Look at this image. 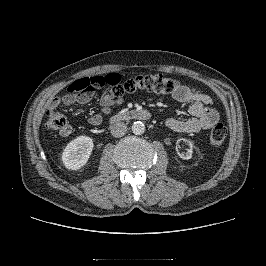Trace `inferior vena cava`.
I'll return each instance as SVG.
<instances>
[{"label": "inferior vena cava", "mask_w": 266, "mask_h": 266, "mask_svg": "<svg viewBox=\"0 0 266 266\" xmlns=\"http://www.w3.org/2000/svg\"><path fill=\"white\" fill-rule=\"evenodd\" d=\"M126 131H127V125L124 122H116L111 127V134L117 138L125 135Z\"/></svg>", "instance_id": "1"}]
</instances>
